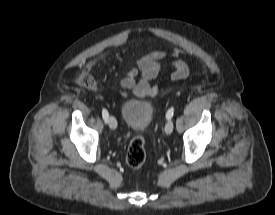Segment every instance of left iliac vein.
I'll list each match as a JSON object with an SVG mask.
<instances>
[{"label": "left iliac vein", "mask_w": 275, "mask_h": 215, "mask_svg": "<svg viewBox=\"0 0 275 215\" xmlns=\"http://www.w3.org/2000/svg\"><path fill=\"white\" fill-rule=\"evenodd\" d=\"M173 131V121L172 120H168V122L165 125V133L167 135H170Z\"/></svg>", "instance_id": "1"}]
</instances>
